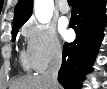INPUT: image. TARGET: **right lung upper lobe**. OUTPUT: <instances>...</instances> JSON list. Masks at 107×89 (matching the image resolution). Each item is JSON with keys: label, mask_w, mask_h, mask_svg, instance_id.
Listing matches in <instances>:
<instances>
[{"label": "right lung upper lobe", "mask_w": 107, "mask_h": 89, "mask_svg": "<svg viewBox=\"0 0 107 89\" xmlns=\"http://www.w3.org/2000/svg\"><path fill=\"white\" fill-rule=\"evenodd\" d=\"M32 9L33 0H19L14 10L13 28L22 26L31 16Z\"/></svg>", "instance_id": "cb5924a9"}]
</instances>
